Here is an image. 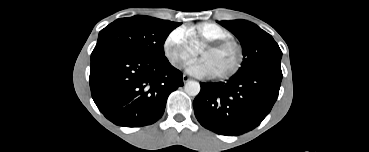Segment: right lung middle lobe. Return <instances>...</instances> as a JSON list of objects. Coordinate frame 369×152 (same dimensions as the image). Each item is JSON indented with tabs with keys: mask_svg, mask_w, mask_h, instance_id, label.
Segmentation results:
<instances>
[{
	"mask_svg": "<svg viewBox=\"0 0 369 152\" xmlns=\"http://www.w3.org/2000/svg\"><path fill=\"white\" fill-rule=\"evenodd\" d=\"M179 25L149 16L117 19L100 31L91 60L111 53L164 58V42Z\"/></svg>",
	"mask_w": 369,
	"mask_h": 152,
	"instance_id": "obj_1",
	"label": "right lung middle lobe"
}]
</instances>
